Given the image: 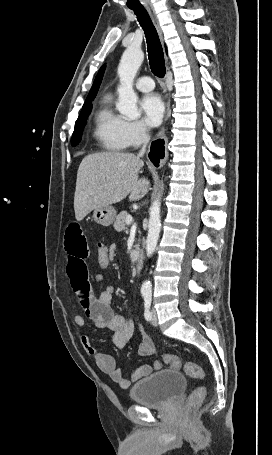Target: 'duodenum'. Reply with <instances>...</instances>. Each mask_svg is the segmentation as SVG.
Instances as JSON below:
<instances>
[{"label":"duodenum","mask_w":272,"mask_h":455,"mask_svg":"<svg viewBox=\"0 0 272 455\" xmlns=\"http://www.w3.org/2000/svg\"><path fill=\"white\" fill-rule=\"evenodd\" d=\"M144 262V254L141 250H137L136 252V267L137 270L140 271L143 267Z\"/></svg>","instance_id":"duodenum-1"}]
</instances>
